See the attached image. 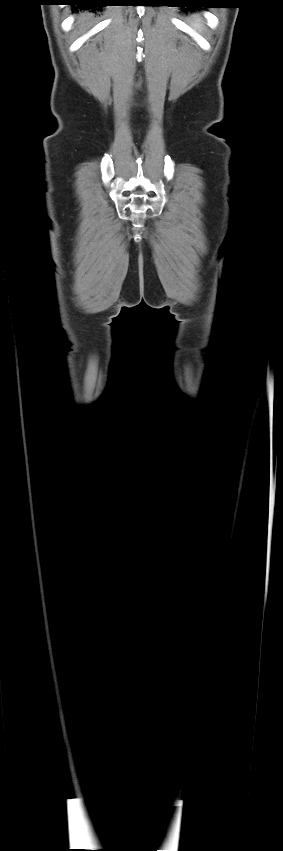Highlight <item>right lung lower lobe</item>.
Returning a JSON list of instances; mask_svg holds the SVG:
<instances>
[{
    "mask_svg": "<svg viewBox=\"0 0 283 851\" xmlns=\"http://www.w3.org/2000/svg\"><path fill=\"white\" fill-rule=\"evenodd\" d=\"M66 1H71L74 4H77V5H93V6H105L106 5V4H104L105 0H66Z\"/></svg>",
    "mask_w": 283,
    "mask_h": 851,
    "instance_id": "98d812e1",
    "label": "right lung lower lobe"
}]
</instances>
